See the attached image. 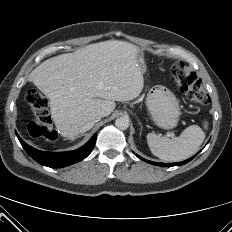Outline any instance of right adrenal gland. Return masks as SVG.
I'll use <instances>...</instances> for the list:
<instances>
[{
	"instance_id": "2a0ac1e0",
	"label": "right adrenal gland",
	"mask_w": 232,
	"mask_h": 232,
	"mask_svg": "<svg viewBox=\"0 0 232 232\" xmlns=\"http://www.w3.org/2000/svg\"><path fill=\"white\" fill-rule=\"evenodd\" d=\"M81 136H83V134H81V135H79V136H77V137H81Z\"/></svg>"
}]
</instances>
